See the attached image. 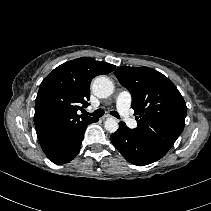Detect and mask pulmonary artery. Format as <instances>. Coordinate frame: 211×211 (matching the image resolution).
Returning <instances> with one entry per match:
<instances>
[{"instance_id":"pulmonary-artery-1","label":"pulmonary artery","mask_w":211,"mask_h":211,"mask_svg":"<svg viewBox=\"0 0 211 211\" xmlns=\"http://www.w3.org/2000/svg\"><path fill=\"white\" fill-rule=\"evenodd\" d=\"M131 94L127 90L121 91L116 97V108L121 117L124 119L126 124L130 128H135L137 126V122L131 115L130 107H131Z\"/></svg>"}]
</instances>
